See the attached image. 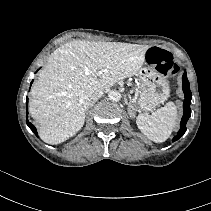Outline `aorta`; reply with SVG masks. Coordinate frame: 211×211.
<instances>
[{"mask_svg": "<svg viewBox=\"0 0 211 211\" xmlns=\"http://www.w3.org/2000/svg\"><path fill=\"white\" fill-rule=\"evenodd\" d=\"M108 97L113 101H119L121 98V94L118 91L112 90L108 93Z\"/></svg>", "mask_w": 211, "mask_h": 211, "instance_id": "aorta-1", "label": "aorta"}]
</instances>
